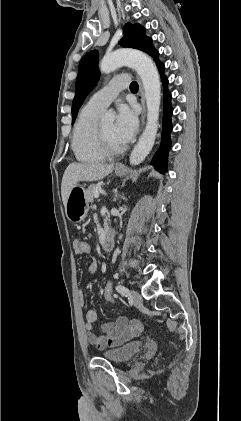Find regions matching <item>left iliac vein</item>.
I'll return each instance as SVG.
<instances>
[{
    "label": "left iliac vein",
    "mask_w": 241,
    "mask_h": 421,
    "mask_svg": "<svg viewBox=\"0 0 241 421\" xmlns=\"http://www.w3.org/2000/svg\"><path fill=\"white\" fill-rule=\"evenodd\" d=\"M129 299H130L131 303H132V304H134V305H140V304H142V297H141V295H140L137 291H135V290H132V291L130 292V297H129Z\"/></svg>",
    "instance_id": "1"
}]
</instances>
